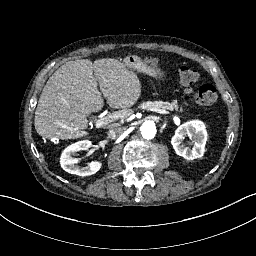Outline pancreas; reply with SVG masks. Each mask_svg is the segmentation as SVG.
Wrapping results in <instances>:
<instances>
[{"instance_id": "1", "label": "pancreas", "mask_w": 256, "mask_h": 256, "mask_svg": "<svg viewBox=\"0 0 256 256\" xmlns=\"http://www.w3.org/2000/svg\"><path fill=\"white\" fill-rule=\"evenodd\" d=\"M147 107H151L154 109H159V108H163V109H167V110H174L176 109L177 111H182L184 109V105H178L177 101H173L171 103L168 102H148L147 103Z\"/></svg>"}]
</instances>
